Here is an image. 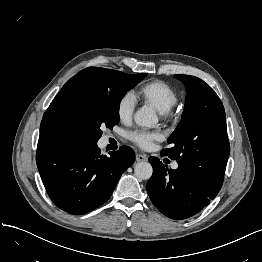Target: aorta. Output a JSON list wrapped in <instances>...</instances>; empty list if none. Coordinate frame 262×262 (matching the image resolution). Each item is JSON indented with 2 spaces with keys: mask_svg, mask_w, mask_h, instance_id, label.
Segmentation results:
<instances>
[{
  "mask_svg": "<svg viewBox=\"0 0 262 262\" xmlns=\"http://www.w3.org/2000/svg\"><path fill=\"white\" fill-rule=\"evenodd\" d=\"M134 121L139 126L151 127L157 123L158 118L153 109L142 107L136 111ZM134 172L138 179L147 180L152 176L153 169L149 162L142 161L135 165Z\"/></svg>",
  "mask_w": 262,
  "mask_h": 262,
  "instance_id": "1",
  "label": "aorta"
}]
</instances>
